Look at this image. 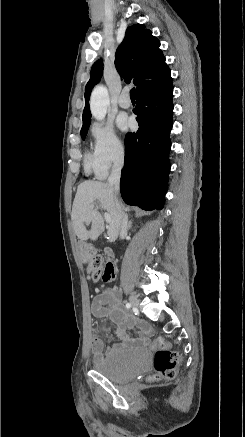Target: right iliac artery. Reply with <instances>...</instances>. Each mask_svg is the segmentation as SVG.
Returning <instances> with one entry per match:
<instances>
[{
    "mask_svg": "<svg viewBox=\"0 0 245 437\" xmlns=\"http://www.w3.org/2000/svg\"><path fill=\"white\" fill-rule=\"evenodd\" d=\"M126 308H128V309L131 308V304H130V303H127V304H126Z\"/></svg>",
    "mask_w": 245,
    "mask_h": 437,
    "instance_id": "82829eb1",
    "label": "right iliac artery"
}]
</instances>
